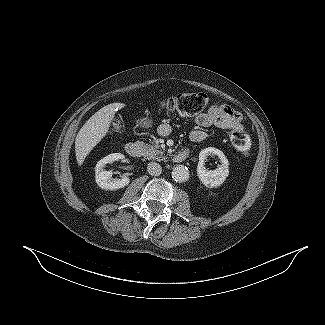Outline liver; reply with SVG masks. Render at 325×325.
<instances>
[{
    "instance_id": "obj_1",
    "label": "liver",
    "mask_w": 325,
    "mask_h": 325,
    "mask_svg": "<svg viewBox=\"0 0 325 325\" xmlns=\"http://www.w3.org/2000/svg\"><path fill=\"white\" fill-rule=\"evenodd\" d=\"M124 103H111L102 107L79 130L75 139V152L78 165H82L86 156L106 136L110 124Z\"/></svg>"
}]
</instances>
